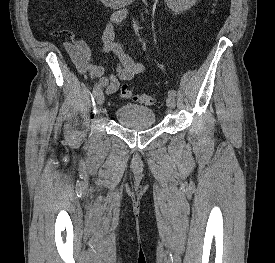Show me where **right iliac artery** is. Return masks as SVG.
Here are the masks:
<instances>
[{"instance_id":"82829eb1","label":"right iliac artery","mask_w":275,"mask_h":263,"mask_svg":"<svg viewBox=\"0 0 275 263\" xmlns=\"http://www.w3.org/2000/svg\"><path fill=\"white\" fill-rule=\"evenodd\" d=\"M101 92V87H99V85L96 83L93 87V94H94V97L97 96V94H99Z\"/></svg>"}]
</instances>
